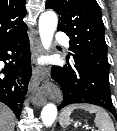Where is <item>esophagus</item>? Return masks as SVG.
<instances>
[{
    "label": "esophagus",
    "instance_id": "esophagus-1",
    "mask_svg": "<svg viewBox=\"0 0 117 131\" xmlns=\"http://www.w3.org/2000/svg\"><path fill=\"white\" fill-rule=\"evenodd\" d=\"M42 53L43 49L37 42L32 55L33 82L35 83L33 102L39 106L46 103L48 96L54 97L59 92L58 88L49 82L48 71L37 63Z\"/></svg>",
    "mask_w": 117,
    "mask_h": 131
}]
</instances>
